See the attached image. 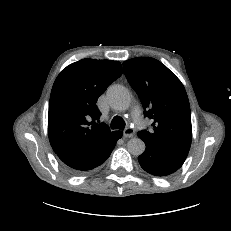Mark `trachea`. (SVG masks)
<instances>
[{
  "label": "trachea",
  "instance_id": "3493384b",
  "mask_svg": "<svg viewBox=\"0 0 231 231\" xmlns=\"http://www.w3.org/2000/svg\"><path fill=\"white\" fill-rule=\"evenodd\" d=\"M111 128L123 130L125 128L124 120L119 116H115L111 121Z\"/></svg>",
  "mask_w": 231,
  "mask_h": 231
}]
</instances>
